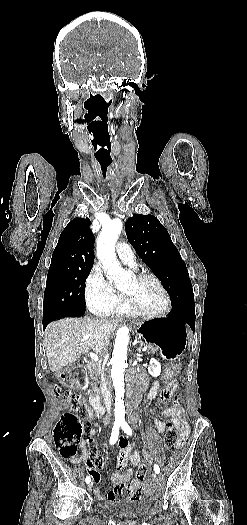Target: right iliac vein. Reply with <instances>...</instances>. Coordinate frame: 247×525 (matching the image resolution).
I'll return each mask as SVG.
<instances>
[{
	"mask_svg": "<svg viewBox=\"0 0 247 525\" xmlns=\"http://www.w3.org/2000/svg\"><path fill=\"white\" fill-rule=\"evenodd\" d=\"M92 486H93V483H92V482L89 483L88 487H89V488H92Z\"/></svg>",
	"mask_w": 247,
	"mask_h": 525,
	"instance_id": "right-iliac-vein-1",
	"label": "right iliac vein"
}]
</instances>
